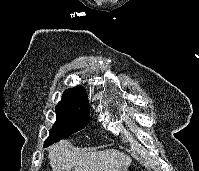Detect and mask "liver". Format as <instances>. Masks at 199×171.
<instances>
[{"mask_svg":"<svg viewBox=\"0 0 199 171\" xmlns=\"http://www.w3.org/2000/svg\"><path fill=\"white\" fill-rule=\"evenodd\" d=\"M48 158L52 171H127L132 161L114 149L82 153L66 140L53 145Z\"/></svg>","mask_w":199,"mask_h":171,"instance_id":"obj_1","label":"liver"}]
</instances>
